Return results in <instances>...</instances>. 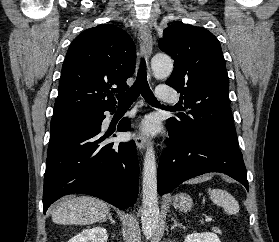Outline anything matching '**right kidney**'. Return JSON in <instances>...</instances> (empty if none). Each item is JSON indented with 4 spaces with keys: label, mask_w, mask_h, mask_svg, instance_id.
I'll list each match as a JSON object with an SVG mask.
<instances>
[{
    "label": "right kidney",
    "mask_w": 279,
    "mask_h": 242,
    "mask_svg": "<svg viewBox=\"0 0 279 242\" xmlns=\"http://www.w3.org/2000/svg\"><path fill=\"white\" fill-rule=\"evenodd\" d=\"M107 240V230L101 226H95L84 229L68 242H107Z\"/></svg>",
    "instance_id": "ca27d5eb"
}]
</instances>
